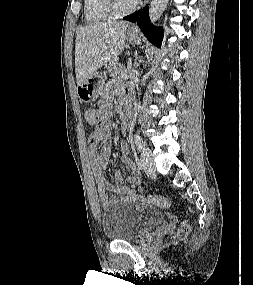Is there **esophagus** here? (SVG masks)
Instances as JSON below:
<instances>
[{
  "instance_id": "obj_1",
  "label": "esophagus",
  "mask_w": 253,
  "mask_h": 285,
  "mask_svg": "<svg viewBox=\"0 0 253 285\" xmlns=\"http://www.w3.org/2000/svg\"><path fill=\"white\" fill-rule=\"evenodd\" d=\"M132 29H136V27H135V26H132Z\"/></svg>"
}]
</instances>
